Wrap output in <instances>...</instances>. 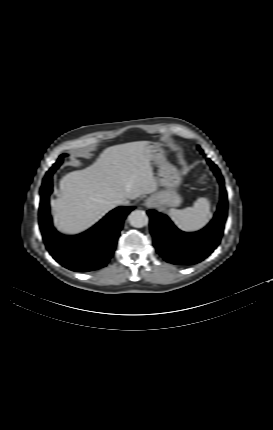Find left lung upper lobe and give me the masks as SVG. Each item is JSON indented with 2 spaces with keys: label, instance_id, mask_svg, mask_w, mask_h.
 Here are the masks:
<instances>
[{
  "label": "left lung upper lobe",
  "instance_id": "obj_1",
  "mask_svg": "<svg viewBox=\"0 0 273 430\" xmlns=\"http://www.w3.org/2000/svg\"><path fill=\"white\" fill-rule=\"evenodd\" d=\"M198 149L201 151V153H203V151L200 148H198Z\"/></svg>",
  "mask_w": 273,
  "mask_h": 430
}]
</instances>
